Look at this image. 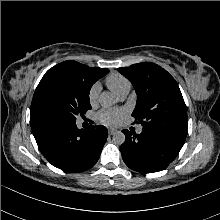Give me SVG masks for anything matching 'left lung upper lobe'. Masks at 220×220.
<instances>
[{
    "mask_svg": "<svg viewBox=\"0 0 220 220\" xmlns=\"http://www.w3.org/2000/svg\"><path fill=\"white\" fill-rule=\"evenodd\" d=\"M133 84L137 93L132 116L143 130L184 144L188 120L186 105L175 79L162 67L143 62L118 68Z\"/></svg>",
    "mask_w": 220,
    "mask_h": 220,
    "instance_id": "left-lung-upper-lobe-1",
    "label": "left lung upper lobe"
}]
</instances>
